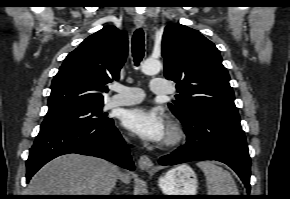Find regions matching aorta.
I'll return each instance as SVG.
<instances>
[{
    "instance_id": "aorta-1",
    "label": "aorta",
    "mask_w": 290,
    "mask_h": 199,
    "mask_svg": "<svg viewBox=\"0 0 290 199\" xmlns=\"http://www.w3.org/2000/svg\"><path fill=\"white\" fill-rule=\"evenodd\" d=\"M162 69V64L157 59L149 58L141 64V71L146 75H155Z\"/></svg>"
}]
</instances>
